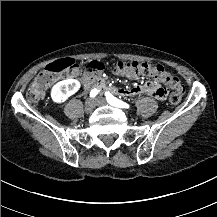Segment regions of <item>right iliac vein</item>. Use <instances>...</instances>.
Returning <instances> with one entry per match:
<instances>
[{
	"label": "right iliac vein",
	"mask_w": 217,
	"mask_h": 217,
	"mask_svg": "<svg viewBox=\"0 0 217 217\" xmlns=\"http://www.w3.org/2000/svg\"><path fill=\"white\" fill-rule=\"evenodd\" d=\"M96 106V101L93 98H88L85 102V112L91 113Z\"/></svg>",
	"instance_id": "right-iliac-vein-1"
}]
</instances>
